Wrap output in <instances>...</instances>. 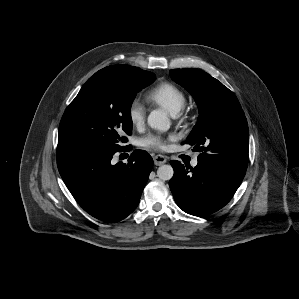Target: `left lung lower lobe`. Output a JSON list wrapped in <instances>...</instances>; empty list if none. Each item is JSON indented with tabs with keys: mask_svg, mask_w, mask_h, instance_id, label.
I'll return each instance as SVG.
<instances>
[{
	"mask_svg": "<svg viewBox=\"0 0 299 299\" xmlns=\"http://www.w3.org/2000/svg\"><path fill=\"white\" fill-rule=\"evenodd\" d=\"M169 182L177 205L186 213L206 216L224 207L240 186L246 171L198 161L195 168L172 160Z\"/></svg>",
	"mask_w": 299,
	"mask_h": 299,
	"instance_id": "0a47b994",
	"label": "left lung lower lobe"
}]
</instances>
